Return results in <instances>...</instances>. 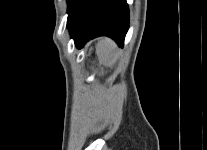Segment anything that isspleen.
I'll list each match as a JSON object with an SVG mask.
<instances>
[{
	"instance_id": "spleen-1",
	"label": "spleen",
	"mask_w": 207,
	"mask_h": 150,
	"mask_svg": "<svg viewBox=\"0 0 207 150\" xmlns=\"http://www.w3.org/2000/svg\"><path fill=\"white\" fill-rule=\"evenodd\" d=\"M96 52L101 62L110 64L116 57V45L109 38H101L97 43Z\"/></svg>"
}]
</instances>
